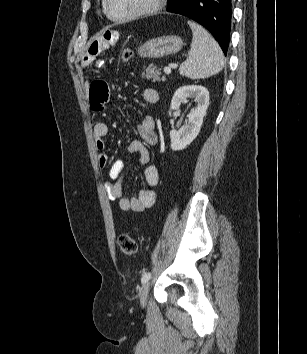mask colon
Wrapping results in <instances>:
<instances>
[{"mask_svg":"<svg viewBox=\"0 0 307 354\" xmlns=\"http://www.w3.org/2000/svg\"><path fill=\"white\" fill-rule=\"evenodd\" d=\"M132 57V51L129 48H125L121 51V60L127 62ZM118 245L123 255L133 257L137 254L138 247L135 239L128 234H121L118 237Z\"/></svg>","mask_w":307,"mask_h":354,"instance_id":"obj_1","label":"colon"}]
</instances>
